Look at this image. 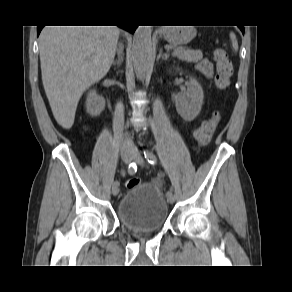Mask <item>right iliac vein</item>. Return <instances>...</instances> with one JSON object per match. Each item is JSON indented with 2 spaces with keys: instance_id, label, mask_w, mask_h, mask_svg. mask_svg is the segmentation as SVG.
<instances>
[{
  "instance_id": "obj_1",
  "label": "right iliac vein",
  "mask_w": 292,
  "mask_h": 292,
  "mask_svg": "<svg viewBox=\"0 0 292 292\" xmlns=\"http://www.w3.org/2000/svg\"><path fill=\"white\" fill-rule=\"evenodd\" d=\"M122 160L124 163L129 164L133 160V156L128 154V153H124V154H122ZM118 193H119L118 186H113L112 187V194L114 196H116Z\"/></svg>"
}]
</instances>
